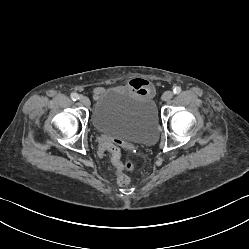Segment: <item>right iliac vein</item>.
Returning <instances> with one entry per match:
<instances>
[{"label": "right iliac vein", "mask_w": 249, "mask_h": 249, "mask_svg": "<svg viewBox=\"0 0 249 249\" xmlns=\"http://www.w3.org/2000/svg\"><path fill=\"white\" fill-rule=\"evenodd\" d=\"M80 102L81 104H83L84 106H89L90 105V100L88 97L86 96H81L80 97Z\"/></svg>", "instance_id": "right-iliac-vein-1"}]
</instances>
